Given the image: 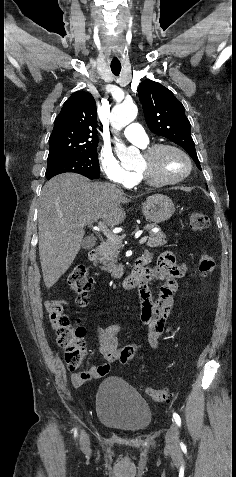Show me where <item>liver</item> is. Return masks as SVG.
<instances>
[{"instance_id":"1","label":"liver","mask_w":236,"mask_h":477,"mask_svg":"<svg viewBox=\"0 0 236 477\" xmlns=\"http://www.w3.org/2000/svg\"><path fill=\"white\" fill-rule=\"evenodd\" d=\"M130 200L112 184L90 182L65 173L43 187L39 212V255L43 280L51 288L78 254L84 227L101 219L114 227L125 219L122 204Z\"/></svg>"}]
</instances>
